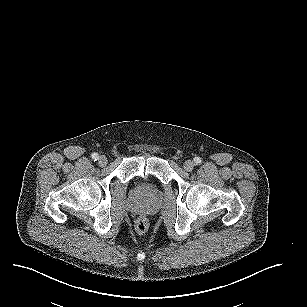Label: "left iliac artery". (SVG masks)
Instances as JSON below:
<instances>
[{"label": "left iliac artery", "mask_w": 307, "mask_h": 307, "mask_svg": "<svg viewBox=\"0 0 307 307\" xmlns=\"http://www.w3.org/2000/svg\"><path fill=\"white\" fill-rule=\"evenodd\" d=\"M194 162L195 164H200L202 162V159L200 157H195Z\"/></svg>", "instance_id": "obj_1"}]
</instances>
